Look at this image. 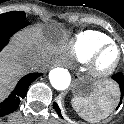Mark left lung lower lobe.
<instances>
[{"label": "left lung lower lobe", "mask_w": 124, "mask_h": 124, "mask_svg": "<svg viewBox=\"0 0 124 124\" xmlns=\"http://www.w3.org/2000/svg\"><path fill=\"white\" fill-rule=\"evenodd\" d=\"M113 80H115L120 88V101H119V105L122 103V99H123V95H124V75L122 73H116L112 76ZM54 109L57 111V113L59 114L60 117H62L61 115V111L57 105V103H53ZM118 107L116 109H118Z\"/></svg>", "instance_id": "obj_1"}]
</instances>
